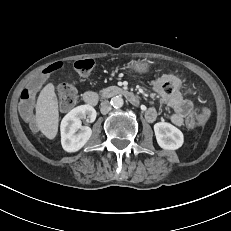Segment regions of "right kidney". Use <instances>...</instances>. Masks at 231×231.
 Wrapping results in <instances>:
<instances>
[{
  "label": "right kidney",
  "instance_id": "ca27d5eb",
  "mask_svg": "<svg viewBox=\"0 0 231 231\" xmlns=\"http://www.w3.org/2000/svg\"><path fill=\"white\" fill-rule=\"evenodd\" d=\"M96 110L90 105H81L72 109L61 121V144L66 152L80 150L90 139L92 130L88 126H82L81 119L88 122L96 119Z\"/></svg>",
  "mask_w": 231,
  "mask_h": 231
}]
</instances>
